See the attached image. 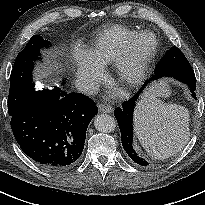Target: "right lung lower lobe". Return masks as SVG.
<instances>
[{
	"label": "right lung lower lobe",
	"mask_w": 205,
	"mask_h": 205,
	"mask_svg": "<svg viewBox=\"0 0 205 205\" xmlns=\"http://www.w3.org/2000/svg\"><path fill=\"white\" fill-rule=\"evenodd\" d=\"M97 113L87 96L55 87L36 91L11 116V128L27 156L47 170H63L80 157L87 127Z\"/></svg>",
	"instance_id": "right-lung-lower-lobe-1"
}]
</instances>
